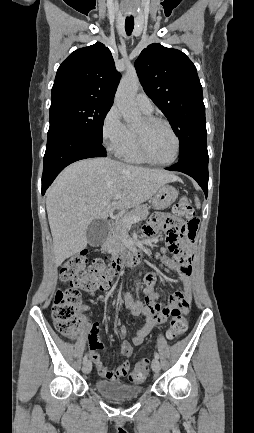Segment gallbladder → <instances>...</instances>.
<instances>
[{
	"label": "gallbladder",
	"instance_id": "obj_1",
	"mask_svg": "<svg viewBox=\"0 0 254 433\" xmlns=\"http://www.w3.org/2000/svg\"><path fill=\"white\" fill-rule=\"evenodd\" d=\"M109 225L104 219H94L86 230V237L90 246H99L107 238Z\"/></svg>",
	"mask_w": 254,
	"mask_h": 433
}]
</instances>
